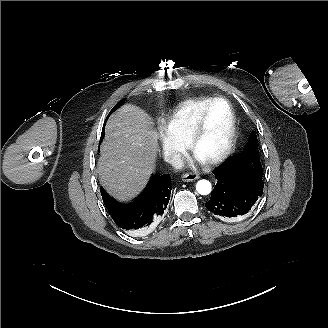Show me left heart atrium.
<instances>
[{"instance_id":"obj_1","label":"left heart atrium","mask_w":328,"mask_h":328,"mask_svg":"<svg viewBox=\"0 0 328 328\" xmlns=\"http://www.w3.org/2000/svg\"><path fill=\"white\" fill-rule=\"evenodd\" d=\"M199 159H202V158L199 157L198 155H196V156L194 157V160H199ZM188 163L192 164V163H193V160H192V159H189V160H188ZM181 165H182L181 163L178 164V166H181Z\"/></svg>"}]
</instances>
